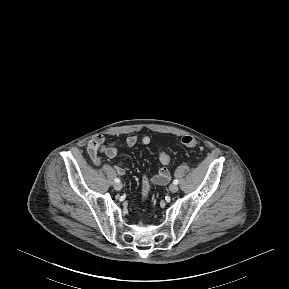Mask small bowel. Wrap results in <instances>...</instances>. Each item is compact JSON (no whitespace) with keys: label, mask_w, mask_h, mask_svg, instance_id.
I'll list each match as a JSON object with an SVG mask.
<instances>
[{"label":"small bowel","mask_w":289,"mask_h":289,"mask_svg":"<svg viewBox=\"0 0 289 289\" xmlns=\"http://www.w3.org/2000/svg\"><path fill=\"white\" fill-rule=\"evenodd\" d=\"M139 141L136 135H130L126 138L124 142L113 141L106 143L103 135H97L90 140L87 146L88 153L95 164H99V153H103L109 159H116L122 148H131L137 144ZM143 145H148L151 142L149 136H143L140 139ZM115 170L120 176L125 175V170L121 166H116ZM148 185L160 186L165 184H170L172 182V177L168 169L162 166L158 173L152 178L147 177Z\"/></svg>","instance_id":"c3829d8e"}]
</instances>
